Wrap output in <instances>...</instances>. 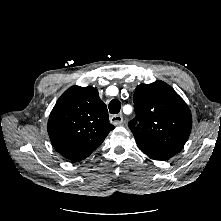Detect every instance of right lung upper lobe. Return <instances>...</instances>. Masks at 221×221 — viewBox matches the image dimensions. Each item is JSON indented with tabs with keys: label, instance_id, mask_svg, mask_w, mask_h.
I'll list each match as a JSON object with an SVG mask.
<instances>
[{
	"label": "right lung upper lobe",
	"instance_id": "obj_1",
	"mask_svg": "<svg viewBox=\"0 0 221 221\" xmlns=\"http://www.w3.org/2000/svg\"><path fill=\"white\" fill-rule=\"evenodd\" d=\"M113 129L106 105L91 86H72L65 91L48 121L54 148L71 161L88 157Z\"/></svg>",
	"mask_w": 221,
	"mask_h": 221
}]
</instances>
